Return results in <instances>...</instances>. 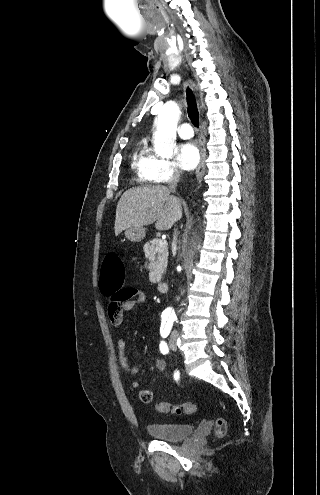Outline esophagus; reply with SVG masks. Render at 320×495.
I'll return each instance as SVG.
<instances>
[{
	"label": "esophagus",
	"mask_w": 320,
	"mask_h": 495,
	"mask_svg": "<svg viewBox=\"0 0 320 495\" xmlns=\"http://www.w3.org/2000/svg\"><path fill=\"white\" fill-rule=\"evenodd\" d=\"M200 151H201V160L199 163V166L196 170V179L198 182L201 181L204 173H205V158H206V149L203 143L200 145Z\"/></svg>",
	"instance_id": "34e87169"
}]
</instances>
